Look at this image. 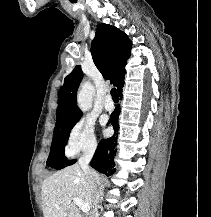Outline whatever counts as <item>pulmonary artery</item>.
<instances>
[{
    "label": "pulmonary artery",
    "instance_id": "obj_1",
    "mask_svg": "<svg viewBox=\"0 0 211 217\" xmlns=\"http://www.w3.org/2000/svg\"><path fill=\"white\" fill-rule=\"evenodd\" d=\"M104 108L107 111H112L114 109V103H113L110 95L106 96V99L104 102Z\"/></svg>",
    "mask_w": 211,
    "mask_h": 217
}]
</instances>
